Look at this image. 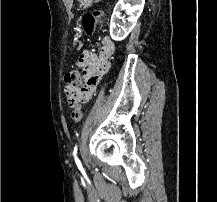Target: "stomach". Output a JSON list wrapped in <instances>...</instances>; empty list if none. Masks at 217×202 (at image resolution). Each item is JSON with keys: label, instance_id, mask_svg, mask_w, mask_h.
Wrapping results in <instances>:
<instances>
[{"label": "stomach", "instance_id": "1", "mask_svg": "<svg viewBox=\"0 0 217 202\" xmlns=\"http://www.w3.org/2000/svg\"><path fill=\"white\" fill-rule=\"evenodd\" d=\"M81 6H83V8H89V6H91L93 0H79Z\"/></svg>", "mask_w": 217, "mask_h": 202}]
</instances>
